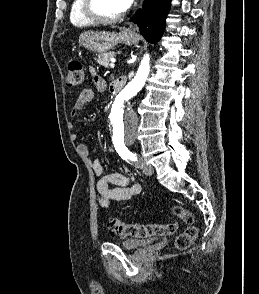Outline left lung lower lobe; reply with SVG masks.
<instances>
[{
    "instance_id": "1",
    "label": "left lung lower lobe",
    "mask_w": 259,
    "mask_h": 294,
    "mask_svg": "<svg viewBox=\"0 0 259 294\" xmlns=\"http://www.w3.org/2000/svg\"><path fill=\"white\" fill-rule=\"evenodd\" d=\"M170 3L171 0H144L142 9L131 19L148 42L159 41L163 34Z\"/></svg>"
}]
</instances>
